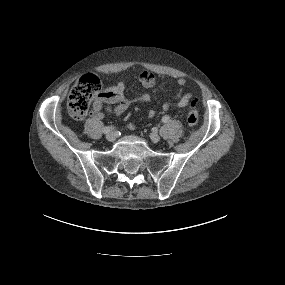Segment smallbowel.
<instances>
[{"label": "small bowel", "instance_id": "1", "mask_svg": "<svg viewBox=\"0 0 285 285\" xmlns=\"http://www.w3.org/2000/svg\"><path fill=\"white\" fill-rule=\"evenodd\" d=\"M139 81L145 88H153L156 85L154 76L147 72H143L139 76ZM186 85L187 82L185 79H178L177 89L174 94L175 100L163 103L162 110L164 112H169L174 107L184 108L189 104L193 95L185 92ZM125 90L126 84L123 81H119L115 85L105 88L102 91L101 96L93 103V117L95 119H102L106 113L120 115L132 105L148 103L151 100V96L148 93L127 96ZM155 115V110H150L148 112L149 118H153ZM128 127L131 130L136 128L133 123H130Z\"/></svg>", "mask_w": 285, "mask_h": 285}]
</instances>
